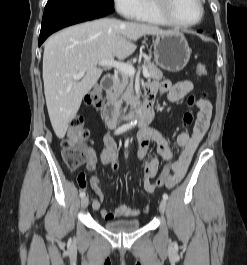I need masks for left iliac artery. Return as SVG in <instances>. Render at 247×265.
<instances>
[{
  "label": "left iliac artery",
  "instance_id": "1",
  "mask_svg": "<svg viewBox=\"0 0 247 265\" xmlns=\"http://www.w3.org/2000/svg\"><path fill=\"white\" fill-rule=\"evenodd\" d=\"M163 199L168 200V195L166 193L163 194Z\"/></svg>",
  "mask_w": 247,
  "mask_h": 265
}]
</instances>
